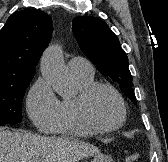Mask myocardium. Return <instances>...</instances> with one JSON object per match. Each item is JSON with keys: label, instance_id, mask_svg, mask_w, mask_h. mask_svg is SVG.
<instances>
[{"label": "myocardium", "instance_id": "obj_1", "mask_svg": "<svg viewBox=\"0 0 168 162\" xmlns=\"http://www.w3.org/2000/svg\"><path fill=\"white\" fill-rule=\"evenodd\" d=\"M99 89H105L111 92L119 104L121 111L120 119L113 125H100L93 119L90 114L89 100L91 96ZM75 108L81 122L92 129L94 132L116 131L120 129L127 120V107L121 93L115 87L107 83L94 82L83 88L75 99Z\"/></svg>", "mask_w": 168, "mask_h": 162}]
</instances>
